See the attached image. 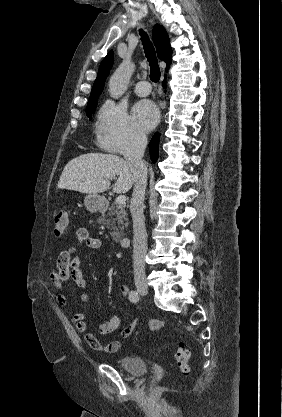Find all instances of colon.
<instances>
[{"instance_id": "1", "label": "colon", "mask_w": 282, "mask_h": 417, "mask_svg": "<svg viewBox=\"0 0 282 417\" xmlns=\"http://www.w3.org/2000/svg\"><path fill=\"white\" fill-rule=\"evenodd\" d=\"M70 226V218L67 211H59L56 213L53 220V229L56 235L62 236ZM166 323L161 319H151L148 322L149 331L154 333L164 328ZM189 358V351L184 343L176 344L174 361L183 373L189 371L187 361Z\"/></svg>"}]
</instances>
